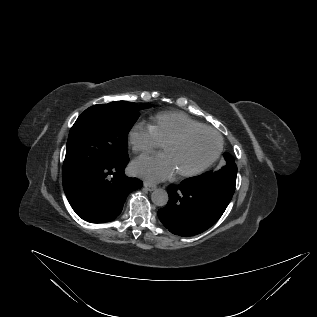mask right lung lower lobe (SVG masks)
Segmentation results:
<instances>
[{
	"label": "right lung lower lobe",
	"mask_w": 317,
	"mask_h": 317,
	"mask_svg": "<svg viewBox=\"0 0 317 317\" xmlns=\"http://www.w3.org/2000/svg\"><path fill=\"white\" fill-rule=\"evenodd\" d=\"M128 157L63 176V187L74 211L91 223L114 220L130 192L142 187L136 178H128L124 169Z\"/></svg>",
	"instance_id": "1"
}]
</instances>
